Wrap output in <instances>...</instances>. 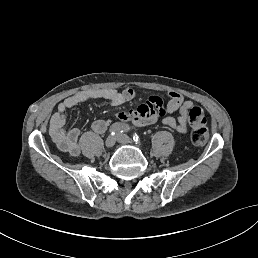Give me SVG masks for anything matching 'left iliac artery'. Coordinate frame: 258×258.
Wrapping results in <instances>:
<instances>
[{"label": "left iliac artery", "mask_w": 258, "mask_h": 258, "mask_svg": "<svg viewBox=\"0 0 258 258\" xmlns=\"http://www.w3.org/2000/svg\"><path fill=\"white\" fill-rule=\"evenodd\" d=\"M133 141L136 145H140V138L139 136L137 135V133H134L133 134Z\"/></svg>", "instance_id": "1"}]
</instances>
